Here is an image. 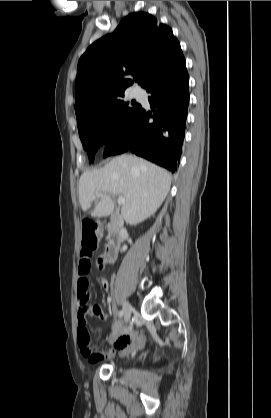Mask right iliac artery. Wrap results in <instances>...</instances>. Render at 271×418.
Instances as JSON below:
<instances>
[{
    "label": "right iliac artery",
    "instance_id": "obj_1",
    "mask_svg": "<svg viewBox=\"0 0 271 418\" xmlns=\"http://www.w3.org/2000/svg\"><path fill=\"white\" fill-rule=\"evenodd\" d=\"M123 314H124V313H123V310L119 311V317H120V318H122Z\"/></svg>",
    "mask_w": 271,
    "mask_h": 418
}]
</instances>
